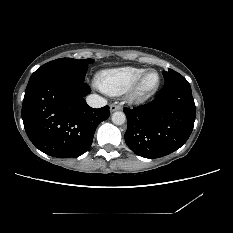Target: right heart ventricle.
<instances>
[{
    "mask_svg": "<svg viewBox=\"0 0 233 233\" xmlns=\"http://www.w3.org/2000/svg\"><path fill=\"white\" fill-rule=\"evenodd\" d=\"M146 71L143 67H120L102 71L97 85L105 93L117 96L129 90L137 78Z\"/></svg>",
    "mask_w": 233,
    "mask_h": 233,
    "instance_id": "obj_1",
    "label": "right heart ventricle"
}]
</instances>
